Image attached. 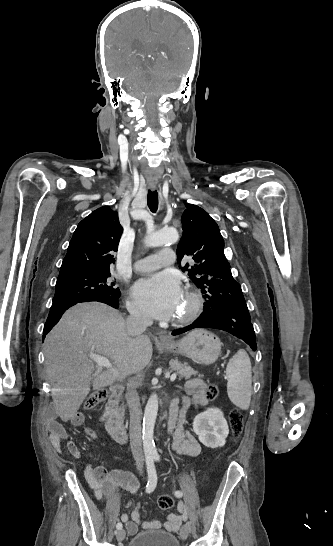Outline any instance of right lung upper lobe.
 <instances>
[{
  "mask_svg": "<svg viewBox=\"0 0 333 546\" xmlns=\"http://www.w3.org/2000/svg\"><path fill=\"white\" fill-rule=\"evenodd\" d=\"M122 232L116 211L108 206L93 211L78 224L59 276L110 271V266L115 263L112 253L117 251Z\"/></svg>",
  "mask_w": 333,
  "mask_h": 546,
  "instance_id": "obj_1",
  "label": "right lung upper lobe"
}]
</instances>
